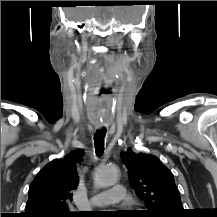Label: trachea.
I'll return each mask as SVG.
<instances>
[{
    "label": "trachea",
    "mask_w": 217,
    "mask_h": 217,
    "mask_svg": "<svg viewBox=\"0 0 217 217\" xmlns=\"http://www.w3.org/2000/svg\"><path fill=\"white\" fill-rule=\"evenodd\" d=\"M106 135V129L102 128L96 131L94 135V144H95V150L96 154L98 156H101L104 152V138Z\"/></svg>",
    "instance_id": "1"
}]
</instances>
